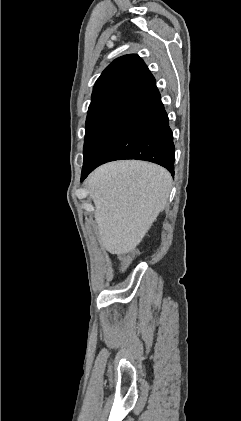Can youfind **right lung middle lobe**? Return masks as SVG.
<instances>
[{
	"label": "right lung middle lobe",
	"instance_id": "dd1d6c3e",
	"mask_svg": "<svg viewBox=\"0 0 241 421\" xmlns=\"http://www.w3.org/2000/svg\"><path fill=\"white\" fill-rule=\"evenodd\" d=\"M130 102L115 104L88 113L83 149V169L92 167L111 141L130 107Z\"/></svg>",
	"mask_w": 241,
	"mask_h": 421
}]
</instances>
